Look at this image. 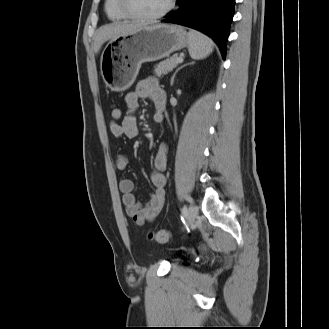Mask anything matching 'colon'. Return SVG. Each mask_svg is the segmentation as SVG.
<instances>
[{"instance_id":"1","label":"colon","mask_w":329,"mask_h":329,"mask_svg":"<svg viewBox=\"0 0 329 329\" xmlns=\"http://www.w3.org/2000/svg\"><path fill=\"white\" fill-rule=\"evenodd\" d=\"M121 109L117 106H113L111 110V116L114 121H119L121 118ZM148 239L154 240L159 243L168 242L171 238V232L168 229H160L156 231H151L147 235Z\"/></svg>"}]
</instances>
